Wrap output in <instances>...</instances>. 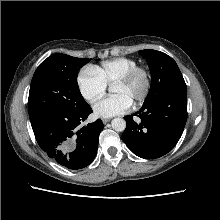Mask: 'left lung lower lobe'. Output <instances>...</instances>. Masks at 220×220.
Returning <instances> with one entry per match:
<instances>
[{
  "label": "left lung lower lobe",
  "instance_id": "left-lung-lower-lobe-1",
  "mask_svg": "<svg viewBox=\"0 0 220 220\" xmlns=\"http://www.w3.org/2000/svg\"><path fill=\"white\" fill-rule=\"evenodd\" d=\"M134 115L141 118L140 124L133 120ZM124 118L127 127L122 139L128 148L144 159L159 158L174 148L183 133L187 121V89L165 93Z\"/></svg>",
  "mask_w": 220,
  "mask_h": 220
}]
</instances>
